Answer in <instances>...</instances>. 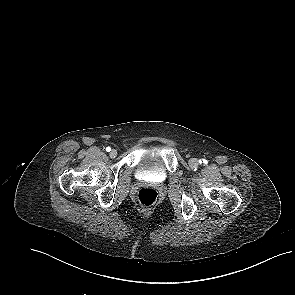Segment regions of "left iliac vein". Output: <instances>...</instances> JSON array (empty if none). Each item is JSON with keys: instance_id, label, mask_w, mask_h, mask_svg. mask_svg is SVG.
<instances>
[{"instance_id": "obj_1", "label": "left iliac vein", "mask_w": 295, "mask_h": 295, "mask_svg": "<svg viewBox=\"0 0 295 295\" xmlns=\"http://www.w3.org/2000/svg\"><path fill=\"white\" fill-rule=\"evenodd\" d=\"M189 165H190V167H192V168H197L198 165H199V161H198L196 158H191V159L189 160Z\"/></svg>"}]
</instances>
